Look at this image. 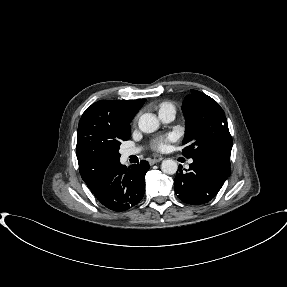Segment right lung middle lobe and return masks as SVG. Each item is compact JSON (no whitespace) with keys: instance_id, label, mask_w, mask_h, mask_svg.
<instances>
[{"instance_id":"obj_1","label":"right lung middle lobe","mask_w":287,"mask_h":287,"mask_svg":"<svg viewBox=\"0 0 287 287\" xmlns=\"http://www.w3.org/2000/svg\"><path fill=\"white\" fill-rule=\"evenodd\" d=\"M118 150H119V147L116 150V158L119 160L121 155L119 154Z\"/></svg>"}]
</instances>
